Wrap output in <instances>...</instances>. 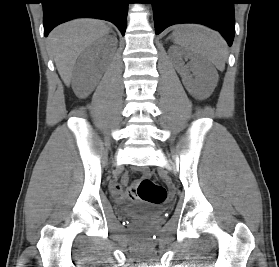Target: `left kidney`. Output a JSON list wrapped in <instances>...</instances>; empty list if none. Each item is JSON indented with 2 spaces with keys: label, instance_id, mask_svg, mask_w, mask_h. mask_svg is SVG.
<instances>
[{
  "label": "left kidney",
  "instance_id": "left-kidney-1",
  "mask_svg": "<svg viewBox=\"0 0 279 267\" xmlns=\"http://www.w3.org/2000/svg\"><path fill=\"white\" fill-rule=\"evenodd\" d=\"M183 58L190 59L188 66L184 65ZM175 69L182 77L186 90L196 99L207 98L215 88L217 73L215 69L199 56L188 51H179L173 61ZM193 72L195 78L189 75Z\"/></svg>",
  "mask_w": 279,
  "mask_h": 267
}]
</instances>
